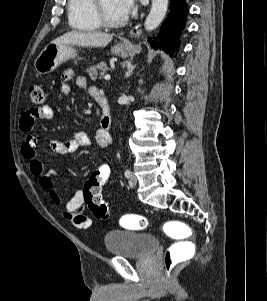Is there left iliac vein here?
Wrapping results in <instances>:
<instances>
[{
    "label": "left iliac vein",
    "instance_id": "4c4485c4",
    "mask_svg": "<svg viewBox=\"0 0 267 301\" xmlns=\"http://www.w3.org/2000/svg\"><path fill=\"white\" fill-rule=\"evenodd\" d=\"M129 184L131 186H135L137 184V177L134 173H131V175H130Z\"/></svg>",
    "mask_w": 267,
    "mask_h": 301
}]
</instances>
